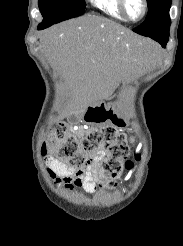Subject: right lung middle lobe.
Listing matches in <instances>:
<instances>
[{
  "label": "right lung middle lobe",
  "mask_w": 183,
  "mask_h": 246,
  "mask_svg": "<svg viewBox=\"0 0 183 246\" xmlns=\"http://www.w3.org/2000/svg\"><path fill=\"white\" fill-rule=\"evenodd\" d=\"M38 4L43 16L41 24L49 26L82 15L86 7L84 0H39Z\"/></svg>",
  "instance_id": "1"
}]
</instances>
